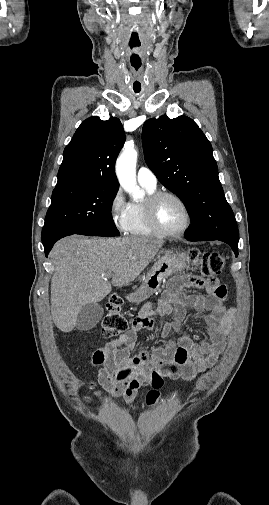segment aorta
<instances>
[{"mask_svg":"<svg viewBox=\"0 0 269 505\" xmlns=\"http://www.w3.org/2000/svg\"><path fill=\"white\" fill-rule=\"evenodd\" d=\"M137 151L126 145L116 162V175L120 185L134 200L144 197V191L136 182Z\"/></svg>","mask_w":269,"mask_h":505,"instance_id":"762f6f07","label":"aorta"}]
</instances>
